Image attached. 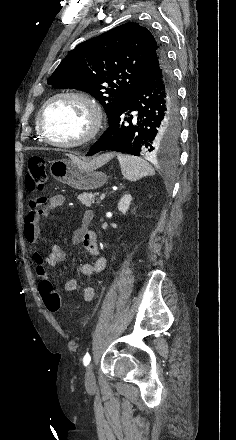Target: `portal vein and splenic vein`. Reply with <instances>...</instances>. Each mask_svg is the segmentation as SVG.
I'll use <instances>...</instances> for the list:
<instances>
[{
    "label": "portal vein and splenic vein",
    "instance_id": "18ae733b",
    "mask_svg": "<svg viewBox=\"0 0 236 440\" xmlns=\"http://www.w3.org/2000/svg\"><path fill=\"white\" fill-rule=\"evenodd\" d=\"M105 196H106L105 193L101 194L100 200H103L105 198Z\"/></svg>",
    "mask_w": 236,
    "mask_h": 440
}]
</instances>
